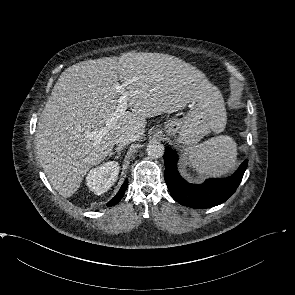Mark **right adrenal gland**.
<instances>
[{"label":"right adrenal gland","mask_w":295,"mask_h":295,"mask_svg":"<svg viewBox=\"0 0 295 295\" xmlns=\"http://www.w3.org/2000/svg\"><path fill=\"white\" fill-rule=\"evenodd\" d=\"M123 149H124L123 146H120V147L115 148V152L118 154V157L120 156L121 151H122ZM115 152H110L109 157H110L111 155L115 154Z\"/></svg>","instance_id":"right-adrenal-gland-1"}]
</instances>
